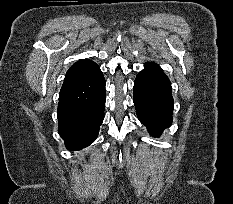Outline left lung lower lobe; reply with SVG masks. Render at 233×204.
<instances>
[{
    "mask_svg": "<svg viewBox=\"0 0 233 204\" xmlns=\"http://www.w3.org/2000/svg\"><path fill=\"white\" fill-rule=\"evenodd\" d=\"M133 99L138 119L151 135L159 136L171 125L174 107L171 84L157 64L146 63L137 75Z\"/></svg>",
    "mask_w": 233,
    "mask_h": 204,
    "instance_id": "left-lung-lower-lobe-1",
    "label": "left lung lower lobe"
}]
</instances>
